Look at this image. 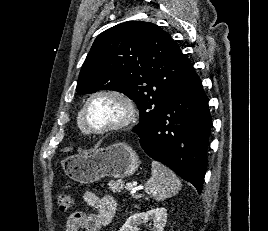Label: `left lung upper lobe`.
<instances>
[{"instance_id": "obj_1", "label": "left lung upper lobe", "mask_w": 268, "mask_h": 231, "mask_svg": "<svg viewBox=\"0 0 268 231\" xmlns=\"http://www.w3.org/2000/svg\"><path fill=\"white\" fill-rule=\"evenodd\" d=\"M194 69L177 43L151 22L128 21L102 32L81 68L76 90L88 94L116 90L138 106L132 131L147 132L158 120L172 91Z\"/></svg>"}]
</instances>
